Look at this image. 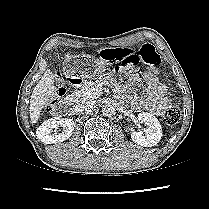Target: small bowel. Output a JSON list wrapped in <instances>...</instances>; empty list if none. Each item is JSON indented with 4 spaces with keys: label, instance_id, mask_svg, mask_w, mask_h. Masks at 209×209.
I'll list each match as a JSON object with an SVG mask.
<instances>
[{
    "label": "small bowel",
    "instance_id": "c3829d8e",
    "mask_svg": "<svg viewBox=\"0 0 209 209\" xmlns=\"http://www.w3.org/2000/svg\"><path fill=\"white\" fill-rule=\"evenodd\" d=\"M125 74L129 80V85L140 79V70L135 64H128L125 67ZM143 81L147 85L146 95L143 97L130 95L131 105L136 111H148L153 115L159 116L170 103L167 89L157 75L151 72L143 74ZM124 90H118L119 95H123Z\"/></svg>",
    "mask_w": 209,
    "mask_h": 209
}]
</instances>
